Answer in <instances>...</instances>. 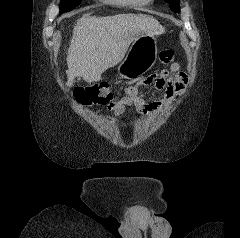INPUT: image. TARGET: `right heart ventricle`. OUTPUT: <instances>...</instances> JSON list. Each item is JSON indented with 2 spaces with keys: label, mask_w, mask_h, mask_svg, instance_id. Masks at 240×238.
I'll return each mask as SVG.
<instances>
[{
  "label": "right heart ventricle",
  "mask_w": 240,
  "mask_h": 238,
  "mask_svg": "<svg viewBox=\"0 0 240 238\" xmlns=\"http://www.w3.org/2000/svg\"><path fill=\"white\" fill-rule=\"evenodd\" d=\"M100 1L116 7H129V6L140 7L148 3L146 0H133V2H129V0H100Z\"/></svg>",
  "instance_id": "obj_1"
}]
</instances>
